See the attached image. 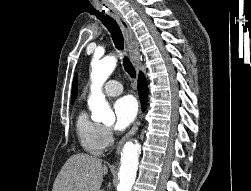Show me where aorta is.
<instances>
[{
    "instance_id": "aorta-1",
    "label": "aorta",
    "mask_w": 251,
    "mask_h": 191,
    "mask_svg": "<svg viewBox=\"0 0 251 191\" xmlns=\"http://www.w3.org/2000/svg\"><path fill=\"white\" fill-rule=\"evenodd\" d=\"M116 64L115 56H106L103 60H95L93 58L91 62L92 72L90 78L92 86L90 88L91 96H89L88 105L92 111V119L94 121H107V119H114L115 117L108 101L102 94L101 88L113 70H115ZM140 149L141 145L139 143H132V141L125 143L121 157L118 191H131L136 177Z\"/></svg>"
}]
</instances>
